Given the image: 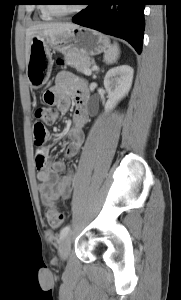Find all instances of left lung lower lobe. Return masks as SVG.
<instances>
[{"mask_svg":"<svg viewBox=\"0 0 181 300\" xmlns=\"http://www.w3.org/2000/svg\"><path fill=\"white\" fill-rule=\"evenodd\" d=\"M146 0H88V7L73 22L122 38L140 54L142 50Z\"/></svg>","mask_w":181,"mask_h":300,"instance_id":"left-lung-lower-lobe-1","label":"left lung lower lobe"}]
</instances>
